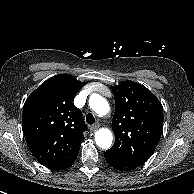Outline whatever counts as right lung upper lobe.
<instances>
[{"instance_id": "1", "label": "right lung upper lobe", "mask_w": 194, "mask_h": 194, "mask_svg": "<svg viewBox=\"0 0 194 194\" xmlns=\"http://www.w3.org/2000/svg\"><path fill=\"white\" fill-rule=\"evenodd\" d=\"M84 84L69 74L55 75L24 104L22 129L27 145L49 169L68 168L77 158L87 126L73 100Z\"/></svg>"}]
</instances>
